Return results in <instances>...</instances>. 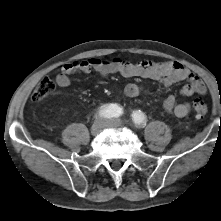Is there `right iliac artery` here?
I'll return each instance as SVG.
<instances>
[{"mask_svg": "<svg viewBox=\"0 0 221 221\" xmlns=\"http://www.w3.org/2000/svg\"><path fill=\"white\" fill-rule=\"evenodd\" d=\"M122 113V108H120L117 104H108L100 108L98 117L113 118L119 117Z\"/></svg>", "mask_w": 221, "mask_h": 221, "instance_id": "1", "label": "right iliac artery"}]
</instances>
